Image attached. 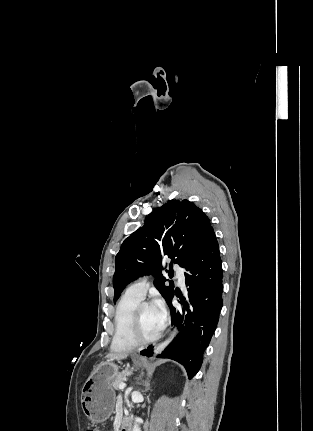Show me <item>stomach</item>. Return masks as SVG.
Returning a JSON list of instances; mask_svg holds the SVG:
<instances>
[{
  "instance_id": "1",
  "label": "stomach",
  "mask_w": 313,
  "mask_h": 431,
  "mask_svg": "<svg viewBox=\"0 0 313 431\" xmlns=\"http://www.w3.org/2000/svg\"><path fill=\"white\" fill-rule=\"evenodd\" d=\"M135 366H143V360H133ZM119 372V367L107 360L99 364L82 388L81 405L84 414L93 423L107 420L113 412L115 391L112 382Z\"/></svg>"
}]
</instances>
